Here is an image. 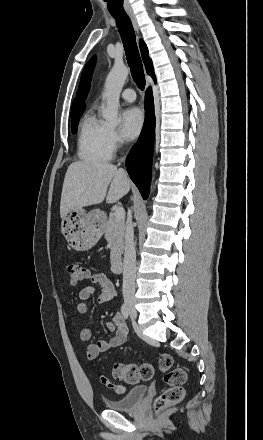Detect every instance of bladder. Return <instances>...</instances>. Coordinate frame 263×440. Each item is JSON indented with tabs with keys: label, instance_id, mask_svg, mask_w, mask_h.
<instances>
[{
	"label": "bladder",
	"instance_id": "bladder-1",
	"mask_svg": "<svg viewBox=\"0 0 263 440\" xmlns=\"http://www.w3.org/2000/svg\"><path fill=\"white\" fill-rule=\"evenodd\" d=\"M147 386L140 385L133 387L120 398L105 399L104 404L108 409L116 411H132L144 399L147 394Z\"/></svg>",
	"mask_w": 263,
	"mask_h": 440
}]
</instances>
